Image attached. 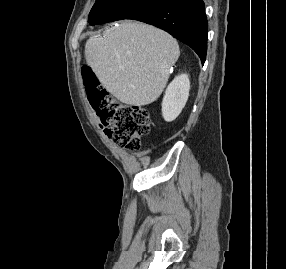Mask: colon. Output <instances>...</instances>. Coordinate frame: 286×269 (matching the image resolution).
Returning <instances> with one entry per match:
<instances>
[{
	"mask_svg": "<svg viewBox=\"0 0 286 269\" xmlns=\"http://www.w3.org/2000/svg\"><path fill=\"white\" fill-rule=\"evenodd\" d=\"M84 83L91 107L105 127L109 139L129 151L140 149V137L149 134L151 120L142 107L116 102L91 72H85Z\"/></svg>",
	"mask_w": 286,
	"mask_h": 269,
	"instance_id": "obj_1",
	"label": "colon"
}]
</instances>
